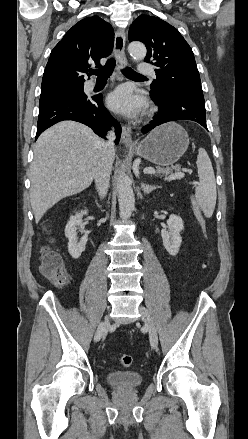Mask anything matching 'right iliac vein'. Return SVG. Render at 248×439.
I'll use <instances>...</instances> for the list:
<instances>
[{
	"instance_id": "1",
	"label": "right iliac vein",
	"mask_w": 248,
	"mask_h": 439,
	"mask_svg": "<svg viewBox=\"0 0 248 439\" xmlns=\"http://www.w3.org/2000/svg\"><path fill=\"white\" fill-rule=\"evenodd\" d=\"M102 322L104 323V326H103V329H102L103 334H102V336H100V340L107 335L108 330L110 328V321H109L108 316H106L105 319Z\"/></svg>"
}]
</instances>
